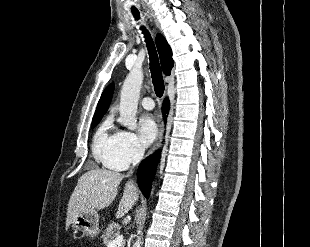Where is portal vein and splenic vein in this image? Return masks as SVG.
<instances>
[{
    "label": "portal vein and splenic vein",
    "instance_id": "obj_1",
    "mask_svg": "<svg viewBox=\"0 0 310 247\" xmlns=\"http://www.w3.org/2000/svg\"><path fill=\"white\" fill-rule=\"evenodd\" d=\"M123 235L118 234L113 240H111L108 244L107 247H120L121 244L123 243Z\"/></svg>",
    "mask_w": 310,
    "mask_h": 247
}]
</instances>
